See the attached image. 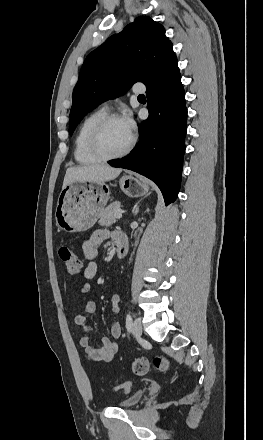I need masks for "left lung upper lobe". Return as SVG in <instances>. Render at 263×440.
<instances>
[{
	"label": "left lung upper lobe",
	"instance_id": "left-lung-upper-lobe-1",
	"mask_svg": "<svg viewBox=\"0 0 263 440\" xmlns=\"http://www.w3.org/2000/svg\"><path fill=\"white\" fill-rule=\"evenodd\" d=\"M176 59L164 27L137 17L86 57L73 91L69 134L99 104L123 95L137 81L148 83Z\"/></svg>",
	"mask_w": 263,
	"mask_h": 440
}]
</instances>
